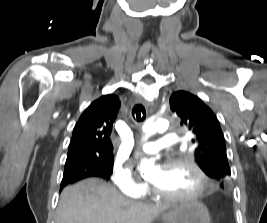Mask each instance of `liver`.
I'll use <instances>...</instances> for the list:
<instances>
[{"label":"liver","mask_w":267,"mask_h":223,"mask_svg":"<svg viewBox=\"0 0 267 223\" xmlns=\"http://www.w3.org/2000/svg\"><path fill=\"white\" fill-rule=\"evenodd\" d=\"M169 208L129 200L103 180L91 178L62 191L57 223H151Z\"/></svg>","instance_id":"liver-1"}]
</instances>
